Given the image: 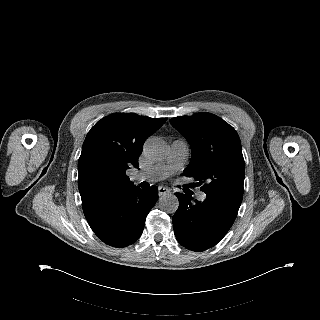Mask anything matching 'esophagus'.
Segmentation results:
<instances>
[{
  "label": "esophagus",
  "instance_id": "34e87169",
  "mask_svg": "<svg viewBox=\"0 0 320 320\" xmlns=\"http://www.w3.org/2000/svg\"><path fill=\"white\" fill-rule=\"evenodd\" d=\"M169 192H170V190L167 187H163V186L158 187V195L159 196H162V195L167 194Z\"/></svg>",
  "mask_w": 320,
  "mask_h": 320
}]
</instances>
